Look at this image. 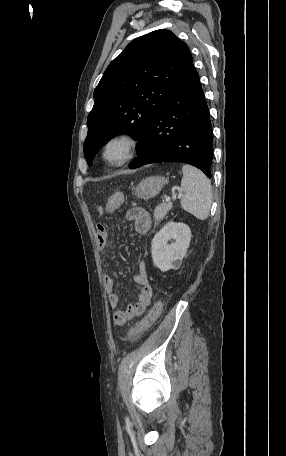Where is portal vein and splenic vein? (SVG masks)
Returning <instances> with one entry per match:
<instances>
[{
	"mask_svg": "<svg viewBox=\"0 0 286 456\" xmlns=\"http://www.w3.org/2000/svg\"><path fill=\"white\" fill-rule=\"evenodd\" d=\"M181 196H182V193H179V194H178V197L180 198ZM165 201H166V202H169V201H170V197L167 196V197L165 198Z\"/></svg>",
	"mask_w": 286,
	"mask_h": 456,
	"instance_id": "1",
	"label": "portal vein and splenic vein"
}]
</instances>
